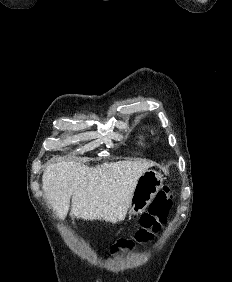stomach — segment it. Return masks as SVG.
I'll use <instances>...</instances> for the list:
<instances>
[{
  "label": "stomach",
  "mask_w": 232,
  "mask_h": 282,
  "mask_svg": "<svg viewBox=\"0 0 232 282\" xmlns=\"http://www.w3.org/2000/svg\"><path fill=\"white\" fill-rule=\"evenodd\" d=\"M163 185V177L156 170H146L138 179L129 204V215L145 211Z\"/></svg>",
  "instance_id": "obj_1"
}]
</instances>
